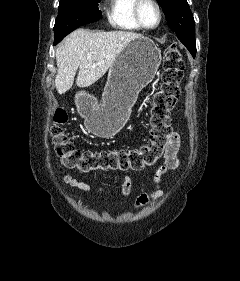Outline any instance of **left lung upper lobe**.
<instances>
[{
	"instance_id": "1",
	"label": "left lung upper lobe",
	"mask_w": 240,
	"mask_h": 281,
	"mask_svg": "<svg viewBox=\"0 0 240 281\" xmlns=\"http://www.w3.org/2000/svg\"><path fill=\"white\" fill-rule=\"evenodd\" d=\"M167 23L193 56L196 54L195 21L187 0H157Z\"/></svg>"
}]
</instances>
